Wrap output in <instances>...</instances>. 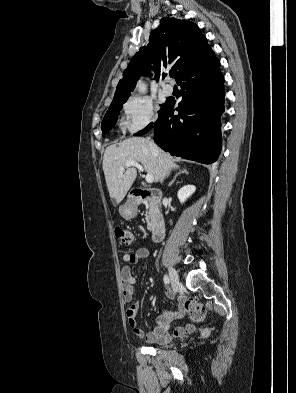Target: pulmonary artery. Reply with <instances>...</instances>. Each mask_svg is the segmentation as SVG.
<instances>
[{"label":"pulmonary artery","mask_w":296,"mask_h":393,"mask_svg":"<svg viewBox=\"0 0 296 393\" xmlns=\"http://www.w3.org/2000/svg\"><path fill=\"white\" fill-rule=\"evenodd\" d=\"M166 83L163 85V92L165 95H171L173 92V86L169 83V77H166Z\"/></svg>","instance_id":"e3ab8cb5"}]
</instances>
